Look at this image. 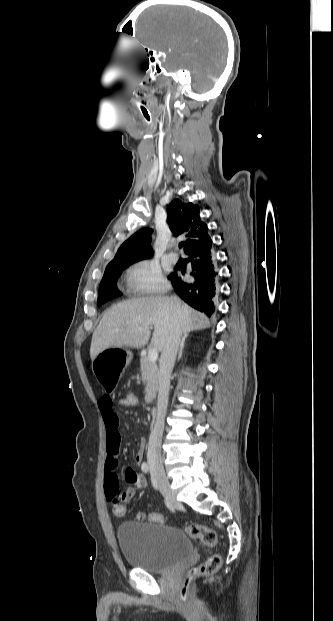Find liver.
I'll return each mask as SVG.
<instances>
[{
  "label": "liver",
  "mask_w": 333,
  "mask_h": 621,
  "mask_svg": "<svg viewBox=\"0 0 333 621\" xmlns=\"http://www.w3.org/2000/svg\"><path fill=\"white\" fill-rule=\"evenodd\" d=\"M172 300L169 297H141L112 306L93 333L91 360L108 348L144 347L149 341L151 326H154L151 343L162 352L174 318L184 334L210 327L205 314L193 310L178 299L179 305L176 307ZM139 328L142 330L139 331Z\"/></svg>",
  "instance_id": "liver-1"
}]
</instances>
